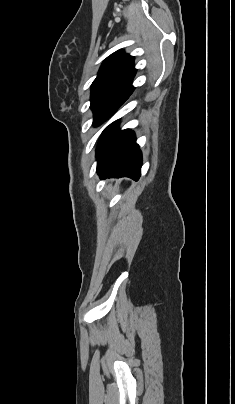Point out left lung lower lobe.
Returning a JSON list of instances; mask_svg holds the SVG:
<instances>
[{"instance_id": "obj_1", "label": "left lung lower lobe", "mask_w": 235, "mask_h": 404, "mask_svg": "<svg viewBox=\"0 0 235 404\" xmlns=\"http://www.w3.org/2000/svg\"><path fill=\"white\" fill-rule=\"evenodd\" d=\"M119 120L102 132L97 146V171L101 179L106 177H130L138 180L142 164L141 152L134 132L118 130Z\"/></svg>"}]
</instances>
